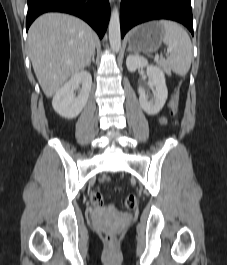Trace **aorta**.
<instances>
[{"instance_id":"obj_1","label":"aorta","mask_w":227,"mask_h":265,"mask_svg":"<svg viewBox=\"0 0 227 265\" xmlns=\"http://www.w3.org/2000/svg\"><path fill=\"white\" fill-rule=\"evenodd\" d=\"M109 42L113 52H119L121 48L120 17L117 7L111 12L109 21Z\"/></svg>"}]
</instances>
